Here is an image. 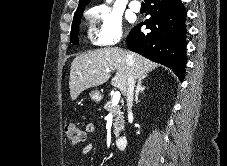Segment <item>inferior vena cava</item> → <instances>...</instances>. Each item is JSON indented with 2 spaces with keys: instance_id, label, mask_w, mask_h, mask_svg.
Instances as JSON below:
<instances>
[{
  "instance_id": "602c4592",
  "label": "inferior vena cava",
  "mask_w": 227,
  "mask_h": 166,
  "mask_svg": "<svg viewBox=\"0 0 227 166\" xmlns=\"http://www.w3.org/2000/svg\"><path fill=\"white\" fill-rule=\"evenodd\" d=\"M134 85H135V80L134 77L130 74L127 79V107H128V115L131 116L132 114V105H133V95H134Z\"/></svg>"
}]
</instances>
